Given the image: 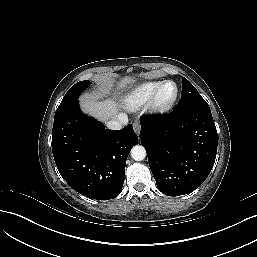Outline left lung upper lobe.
<instances>
[{
  "instance_id": "5c2ea615",
  "label": "left lung upper lobe",
  "mask_w": 257,
  "mask_h": 257,
  "mask_svg": "<svg viewBox=\"0 0 257 257\" xmlns=\"http://www.w3.org/2000/svg\"><path fill=\"white\" fill-rule=\"evenodd\" d=\"M176 107L182 110L189 108L209 109L207 102L201 97L196 88L184 77L182 78L181 99Z\"/></svg>"
}]
</instances>
